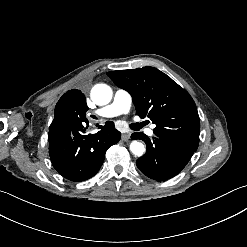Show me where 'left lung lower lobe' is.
<instances>
[{
  "instance_id": "obj_1",
  "label": "left lung lower lobe",
  "mask_w": 247,
  "mask_h": 247,
  "mask_svg": "<svg viewBox=\"0 0 247 247\" xmlns=\"http://www.w3.org/2000/svg\"><path fill=\"white\" fill-rule=\"evenodd\" d=\"M131 138L145 141L147 151L137 159L136 165L144 175L157 181L168 180L180 173L196 151L168 138L157 136L151 142L143 133H133Z\"/></svg>"
}]
</instances>
